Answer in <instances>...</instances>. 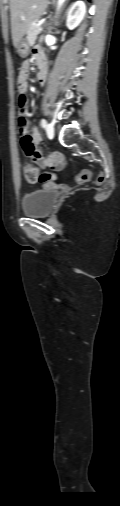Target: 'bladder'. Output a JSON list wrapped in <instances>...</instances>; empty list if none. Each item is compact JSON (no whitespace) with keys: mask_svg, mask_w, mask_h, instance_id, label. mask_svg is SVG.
Masks as SVG:
<instances>
[{"mask_svg":"<svg viewBox=\"0 0 120 506\" xmlns=\"http://www.w3.org/2000/svg\"><path fill=\"white\" fill-rule=\"evenodd\" d=\"M58 191L45 187L26 193L22 198V213L26 216L43 217L51 213Z\"/></svg>","mask_w":120,"mask_h":506,"instance_id":"1","label":"bladder"}]
</instances>
